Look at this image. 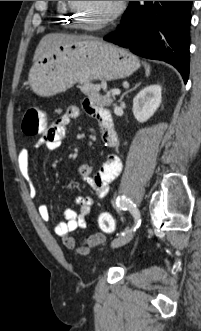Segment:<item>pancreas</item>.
Segmentation results:
<instances>
[{
  "label": "pancreas",
  "instance_id": "obj_1",
  "mask_svg": "<svg viewBox=\"0 0 201 331\" xmlns=\"http://www.w3.org/2000/svg\"><path fill=\"white\" fill-rule=\"evenodd\" d=\"M96 87L97 85L91 82H84L79 86L81 92L87 95L91 100H93L99 106H107V107L111 106V104L115 100L114 96L111 95V92L102 95L99 93V90Z\"/></svg>",
  "mask_w": 201,
  "mask_h": 331
}]
</instances>
